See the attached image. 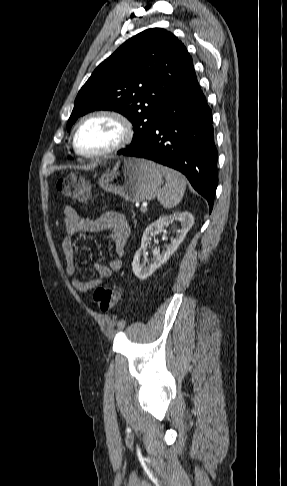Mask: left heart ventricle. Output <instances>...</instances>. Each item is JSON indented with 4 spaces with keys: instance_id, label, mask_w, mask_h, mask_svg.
I'll return each instance as SVG.
<instances>
[{
    "instance_id": "obj_1",
    "label": "left heart ventricle",
    "mask_w": 287,
    "mask_h": 486,
    "mask_svg": "<svg viewBox=\"0 0 287 486\" xmlns=\"http://www.w3.org/2000/svg\"><path fill=\"white\" fill-rule=\"evenodd\" d=\"M120 137V128L108 118H96L85 123L77 134V145L84 152H99L113 146Z\"/></svg>"
}]
</instances>
